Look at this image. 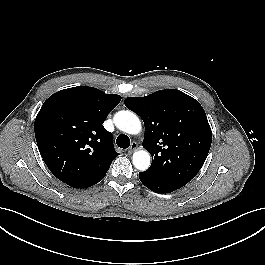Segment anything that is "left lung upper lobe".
Instances as JSON below:
<instances>
[{
	"instance_id": "5c2ea615",
	"label": "left lung upper lobe",
	"mask_w": 265,
	"mask_h": 265,
	"mask_svg": "<svg viewBox=\"0 0 265 265\" xmlns=\"http://www.w3.org/2000/svg\"><path fill=\"white\" fill-rule=\"evenodd\" d=\"M125 106L145 125L143 147L152 156L145 173L182 187L202 168L212 132L197 100L179 90H160L146 97H128Z\"/></svg>"
}]
</instances>
